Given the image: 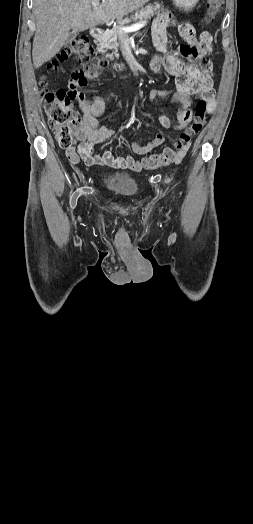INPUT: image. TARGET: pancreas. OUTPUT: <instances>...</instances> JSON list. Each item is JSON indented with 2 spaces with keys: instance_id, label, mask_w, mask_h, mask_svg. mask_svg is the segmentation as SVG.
<instances>
[{
  "instance_id": "1",
  "label": "pancreas",
  "mask_w": 253,
  "mask_h": 524,
  "mask_svg": "<svg viewBox=\"0 0 253 524\" xmlns=\"http://www.w3.org/2000/svg\"><path fill=\"white\" fill-rule=\"evenodd\" d=\"M159 18L168 19L169 11L164 9L163 5L160 3L149 4L135 13V15L130 18H126L122 21H119L117 25L104 33V35L99 40L97 44V50L100 53H105L107 49H116L118 47L117 41L124 36H127V33L122 31L120 28L126 27L131 21H142L150 19L153 16Z\"/></svg>"
}]
</instances>
